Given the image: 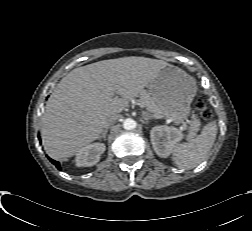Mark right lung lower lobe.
<instances>
[{
    "label": "right lung lower lobe",
    "instance_id": "1",
    "mask_svg": "<svg viewBox=\"0 0 252 231\" xmlns=\"http://www.w3.org/2000/svg\"><path fill=\"white\" fill-rule=\"evenodd\" d=\"M49 160L60 170V163L58 161H55L51 158H49Z\"/></svg>",
    "mask_w": 252,
    "mask_h": 231
}]
</instances>
